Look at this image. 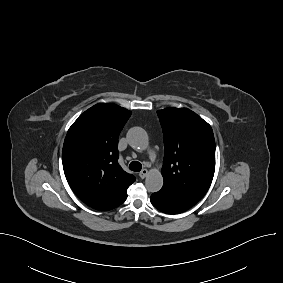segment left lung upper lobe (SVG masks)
<instances>
[{"label": "left lung upper lobe", "instance_id": "1", "mask_svg": "<svg viewBox=\"0 0 283 283\" xmlns=\"http://www.w3.org/2000/svg\"><path fill=\"white\" fill-rule=\"evenodd\" d=\"M164 135L163 189L191 208L208 191L215 171L211 126L187 108L157 111Z\"/></svg>", "mask_w": 283, "mask_h": 283}]
</instances>
